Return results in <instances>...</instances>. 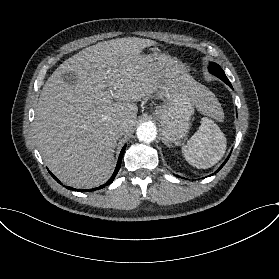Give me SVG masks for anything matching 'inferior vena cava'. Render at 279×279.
Returning a JSON list of instances; mask_svg holds the SVG:
<instances>
[{"label": "inferior vena cava", "mask_w": 279, "mask_h": 279, "mask_svg": "<svg viewBox=\"0 0 279 279\" xmlns=\"http://www.w3.org/2000/svg\"><path fill=\"white\" fill-rule=\"evenodd\" d=\"M127 126H128L127 123H123L122 125L117 126V127L115 128V130H114L113 133H114L118 138H120L124 132H127V130H126V127H127Z\"/></svg>", "instance_id": "inferior-vena-cava-1"}]
</instances>
